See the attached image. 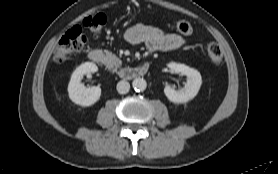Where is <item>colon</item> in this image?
<instances>
[{
    "label": "colon",
    "mask_w": 278,
    "mask_h": 174,
    "mask_svg": "<svg viewBox=\"0 0 278 174\" xmlns=\"http://www.w3.org/2000/svg\"><path fill=\"white\" fill-rule=\"evenodd\" d=\"M106 23L104 14H96L86 17L82 26L77 25L69 29L59 40L55 50L53 59L56 63L61 64L67 61L72 55L80 52L86 45V36L83 28L90 31H99ZM177 30L183 35H190L193 31L192 26L187 21H180L177 24ZM206 54L208 60L218 65L222 62L223 53L220 46L211 42L207 45Z\"/></svg>",
    "instance_id": "obj_1"
}]
</instances>
